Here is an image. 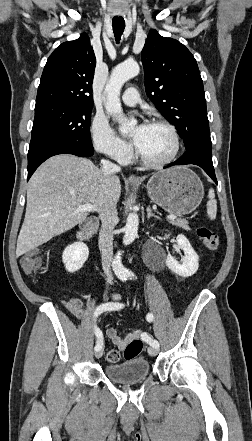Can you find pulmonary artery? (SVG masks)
I'll return each mask as SVG.
<instances>
[{"instance_id":"1","label":"pulmonary artery","mask_w":252,"mask_h":441,"mask_svg":"<svg viewBox=\"0 0 252 441\" xmlns=\"http://www.w3.org/2000/svg\"><path fill=\"white\" fill-rule=\"evenodd\" d=\"M121 100L128 106H135L140 100L138 90L135 87L128 88L122 95Z\"/></svg>"}]
</instances>
